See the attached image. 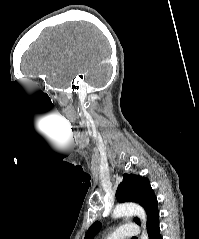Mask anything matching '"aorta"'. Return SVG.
Here are the masks:
<instances>
[{
  "label": "aorta",
  "instance_id": "aorta-1",
  "mask_svg": "<svg viewBox=\"0 0 199 239\" xmlns=\"http://www.w3.org/2000/svg\"><path fill=\"white\" fill-rule=\"evenodd\" d=\"M135 215L137 216L142 223L143 226V231L141 234V238L140 239H148V235L146 233L145 230V226H146V213L145 210L134 203H124V204H118L114 210H113V218H121L124 216H132Z\"/></svg>",
  "mask_w": 199,
  "mask_h": 239
}]
</instances>
